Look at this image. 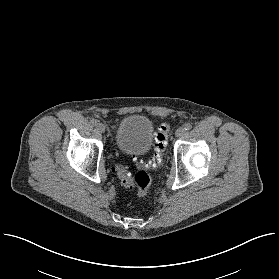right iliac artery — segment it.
<instances>
[{
  "label": "right iliac artery",
  "instance_id": "1",
  "mask_svg": "<svg viewBox=\"0 0 279 279\" xmlns=\"http://www.w3.org/2000/svg\"><path fill=\"white\" fill-rule=\"evenodd\" d=\"M90 124L96 125L97 124V120H95V119L90 120Z\"/></svg>",
  "mask_w": 279,
  "mask_h": 279
}]
</instances>
